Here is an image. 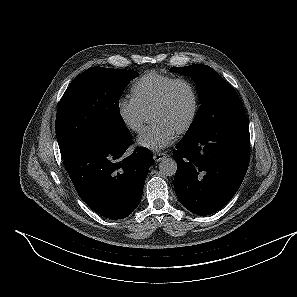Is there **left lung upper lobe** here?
<instances>
[{
    "mask_svg": "<svg viewBox=\"0 0 297 297\" xmlns=\"http://www.w3.org/2000/svg\"><path fill=\"white\" fill-rule=\"evenodd\" d=\"M170 71L185 74L196 82L201 103L194 121L184 137L245 113L234 88L211 67L194 64L185 67H172Z\"/></svg>",
    "mask_w": 297,
    "mask_h": 297,
    "instance_id": "1",
    "label": "left lung upper lobe"
}]
</instances>
